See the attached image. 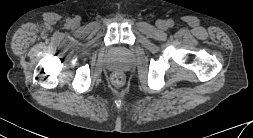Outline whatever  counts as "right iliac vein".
Instances as JSON below:
<instances>
[{
  "instance_id": "obj_1",
  "label": "right iliac vein",
  "mask_w": 253,
  "mask_h": 138,
  "mask_svg": "<svg viewBox=\"0 0 253 138\" xmlns=\"http://www.w3.org/2000/svg\"><path fill=\"white\" fill-rule=\"evenodd\" d=\"M72 24H73L74 26H76V25L78 24V20L74 19V20L72 21Z\"/></svg>"
}]
</instances>
